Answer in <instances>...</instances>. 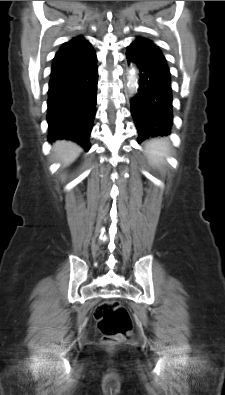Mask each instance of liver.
Returning <instances> with one entry per match:
<instances>
[{
    "mask_svg": "<svg viewBox=\"0 0 225 395\" xmlns=\"http://www.w3.org/2000/svg\"><path fill=\"white\" fill-rule=\"evenodd\" d=\"M52 151L56 160L67 166L76 160L82 152V148L70 141H57L54 143Z\"/></svg>",
    "mask_w": 225,
    "mask_h": 395,
    "instance_id": "obj_1",
    "label": "liver"
}]
</instances>
